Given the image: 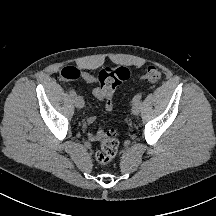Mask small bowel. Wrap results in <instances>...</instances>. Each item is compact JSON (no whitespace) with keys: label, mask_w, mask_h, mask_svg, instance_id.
Segmentation results:
<instances>
[{"label":"small bowel","mask_w":216,"mask_h":216,"mask_svg":"<svg viewBox=\"0 0 216 216\" xmlns=\"http://www.w3.org/2000/svg\"><path fill=\"white\" fill-rule=\"evenodd\" d=\"M79 77L82 80H84L86 83L93 86L92 92H93L94 97L97 98L99 101L104 102L106 109L110 110L112 106L108 105L107 100H108V98H111L112 94L107 95L103 92V90L101 89V87L98 83L97 78L93 74H91L87 71H83V70L79 71ZM95 120H96V116L94 114L90 113L86 117L85 123L87 126H90L95 122ZM89 139L91 141H97L99 139V134L98 133H90Z\"/></svg>","instance_id":"1"}]
</instances>
